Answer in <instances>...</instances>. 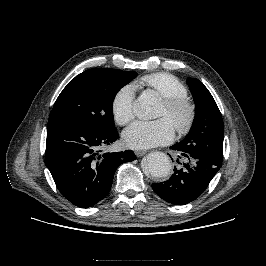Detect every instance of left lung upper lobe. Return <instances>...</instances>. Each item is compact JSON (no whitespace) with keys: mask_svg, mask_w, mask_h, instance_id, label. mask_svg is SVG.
Wrapping results in <instances>:
<instances>
[{"mask_svg":"<svg viewBox=\"0 0 266 266\" xmlns=\"http://www.w3.org/2000/svg\"><path fill=\"white\" fill-rule=\"evenodd\" d=\"M187 84L195 101L196 116L190 134L175 145L185 153L222 165L224 124L219 108L201 81L188 78Z\"/></svg>","mask_w":266,"mask_h":266,"instance_id":"obj_1","label":"left lung upper lobe"}]
</instances>
